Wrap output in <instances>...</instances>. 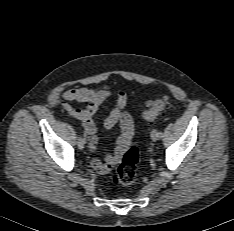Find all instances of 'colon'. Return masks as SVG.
I'll return each instance as SVG.
<instances>
[{
	"label": "colon",
	"instance_id": "5ec220e1",
	"mask_svg": "<svg viewBox=\"0 0 234 231\" xmlns=\"http://www.w3.org/2000/svg\"><path fill=\"white\" fill-rule=\"evenodd\" d=\"M167 106L168 98L166 96L158 97L149 103L148 109L143 112L142 117L146 120H153ZM139 156L140 152L136 146H131L126 150L121 162L111 174V181L115 185L127 186L136 180Z\"/></svg>",
	"mask_w": 234,
	"mask_h": 231
}]
</instances>
